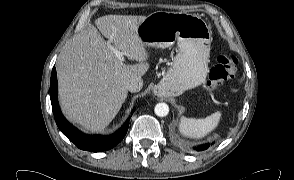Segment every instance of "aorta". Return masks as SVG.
I'll list each match as a JSON object with an SVG mask.
<instances>
[{
  "label": "aorta",
  "instance_id": "obj_1",
  "mask_svg": "<svg viewBox=\"0 0 294 180\" xmlns=\"http://www.w3.org/2000/svg\"><path fill=\"white\" fill-rule=\"evenodd\" d=\"M154 112L159 117H165L169 113V106L166 103H158L155 106Z\"/></svg>",
  "mask_w": 294,
  "mask_h": 180
}]
</instances>
